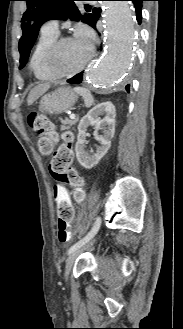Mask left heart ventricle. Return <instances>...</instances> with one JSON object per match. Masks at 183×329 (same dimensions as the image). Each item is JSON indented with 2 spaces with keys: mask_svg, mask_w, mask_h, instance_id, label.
Listing matches in <instances>:
<instances>
[{
  "mask_svg": "<svg viewBox=\"0 0 183 329\" xmlns=\"http://www.w3.org/2000/svg\"><path fill=\"white\" fill-rule=\"evenodd\" d=\"M90 50L78 44L73 38L64 42L60 48L56 68L68 72L81 66L88 58Z\"/></svg>",
  "mask_w": 183,
  "mask_h": 329,
  "instance_id": "obj_1",
  "label": "left heart ventricle"
}]
</instances>
